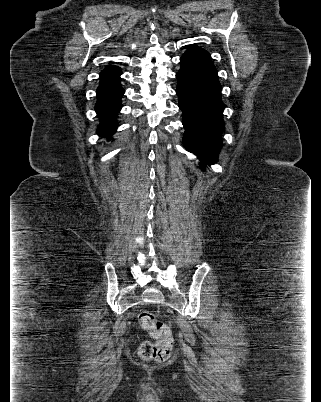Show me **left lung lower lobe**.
<instances>
[{"label":"left lung lower lobe","instance_id":"obj_1","mask_svg":"<svg viewBox=\"0 0 321 402\" xmlns=\"http://www.w3.org/2000/svg\"><path fill=\"white\" fill-rule=\"evenodd\" d=\"M176 94L183 112L184 147L205 164H213L222 147L224 103L210 54L195 45L180 58Z\"/></svg>","mask_w":321,"mask_h":402}]
</instances>
